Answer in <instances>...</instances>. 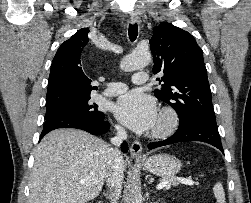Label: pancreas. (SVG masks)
<instances>
[{
    "mask_svg": "<svg viewBox=\"0 0 251 203\" xmlns=\"http://www.w3.org/2000/svg\"><path fill=\"white\" fill-rule=\"evenodd\" d=\"M164 181H168L166 189H169L171 185H174V186L178 185V182L176 181V178L174 177L160 180V182H164Z\"/></svg>",
    "mask_w": 251,
    "mask_h": 203,
    "instance_id": "1",
    "label": "pancreas"
}]
</instances>
